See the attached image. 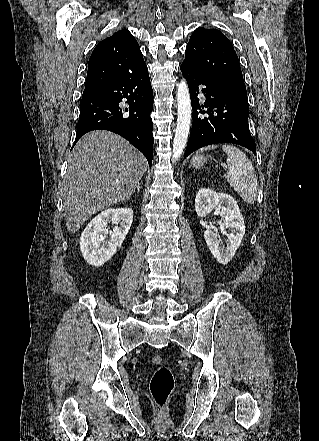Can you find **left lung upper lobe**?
Instances as JSON below:
<instances>
[{"label":"left lung upper lobe","instance_id":"obj_1","mask_svg":"<svg viewBox=\"0 0 319 441\" xmlns=\"http://www.w3.org/2000/svg\"><path fill=\"white\" fill-rule=\"evenodd\" d=\"M184 63L225 82L247 98L239 59L228 38L217 29L197 28L186 47Z\"/></svg>","mask_w":319,"mask_h":441}]
</instances>
